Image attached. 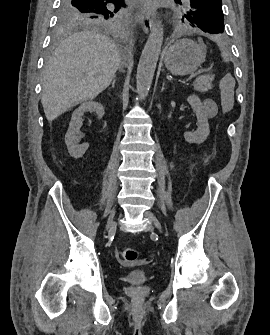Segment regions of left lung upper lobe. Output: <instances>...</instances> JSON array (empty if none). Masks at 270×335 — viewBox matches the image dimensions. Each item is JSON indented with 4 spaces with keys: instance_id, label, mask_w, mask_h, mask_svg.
<instances>
[{
    "instance_id": "5c2ea615",
    "label": "left lung upper lobe",
    "mask_w": 270,
    "mask_h": 335,
    "mask_svg": "<svg viewBox=\"0 0 270 335\" xmlns=\"http://www.w3.org/2000/svg\"><path fill=\"white\" fill-rule=\"evenodd\" d=\"M182 6L183 19H186L193 27L204 32L219 34L224 31V16L222 0H175Z\"/></svg>"
}]
</instances>
